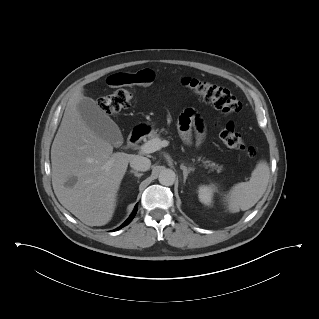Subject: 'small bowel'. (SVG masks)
Wrapping results in <instances>:
<instances>
[{"label":"small bowel","instance_id":"small-bowel-1","mask_svg":"<svg viewBox=\"0 0 319 319\" xmlns=\"http://www.w3.org/2000/svg\"><path fill=\"white\" fill-rule=\"evenodd\" d=\"M139 77L144 85H150L155 79V74L150 69H144L135 74ZM179 130L183 140L186 143L191 142L192 134L191 131L194 129L197 132V140L200 141L203 137L204 122L201 117H199L194 110L187 109L179 118Z\"/></svg>","mask_w":319,"mask_h":319}]
</instances>
